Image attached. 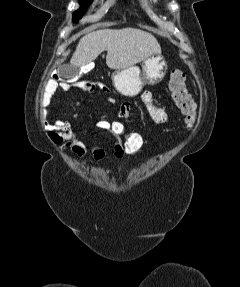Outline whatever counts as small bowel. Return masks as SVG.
<instances>
[{
  "label": "small bowel",
  "mask_w": 240,
  "mask_h": 287,
  "mask_svg": "<svg viewBox=\"0 0 240 287\" xmlns=\"http://www.w3.org/2000/svg\"><path fill=\"white\" fill-rule=\"evenodd\" d=\"M96 87L107 95L106 100L110 104L114 106L116 105V101L112 96H110L111 91L107 86L98 83L96 84ZM59 89L66 90L67 88L56 79H50L48 81L41 100V106L43 108L48 109L50 107L53 97ZM141 101L150 118L156 124L164 125L169 122V115L164 109L158 107L154 103V97L150 91H144L141 94ZM129 115V103H120L117 106L118 120L126 123ZM107 120L108 118L103 116L100 118L99 123L105 122ZM97 128L111 137L114 158L116 160L122 159L125 155L119 139L113 138L110 131L102 128V126L97 125ZM49 138L53 143L61 145L62 150L70 151L76 156L82 158L84 164L87 163L90 159L95 162H101L105 157V150L100 145H92L89 150L87 145L77 136V133L71 122L67 120H57L51 124L49 126Z\"/></svg>",
  "instance_id": "small-bowel-1"
}]
</instances>
